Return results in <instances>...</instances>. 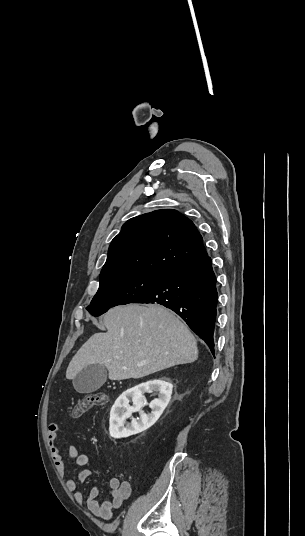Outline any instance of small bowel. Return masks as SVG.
Wrapping results in <instances>:
<instances>
[{"instance_id":"1","label":"small bowel","mask_w":305,"mask_h":536,"mask_svg":"<svg viewBox=\"0 0 305 536\" xmlns=\"http://www.w3.org/2000/svg\"><path fill=\"white\" fill-rule=\"evenodd\" d=\"M48 446L50 449L51 458L56 467L58 476L63 478L65 476V462L61 450L58 446L59 433L56 425L49 424L46 427ZM68 458L73 460L79 467H84L90 462V456L81 454L79 448L76 445H71L68 449ZM91 475V471L88 468H83L77 474L76 480L68 479L65 483L67 491L74 493L76 501L81 502L83 494L77 491V484L84 483ZM109 498L100 501L98 499L99 489L93 487L87 498L88 509L97 517L104 520H109L113 516V510L118 509L131 495V484L128 481H121L117 477H111L108 481Z\"/></svg>"}]
</instances>
